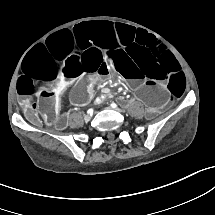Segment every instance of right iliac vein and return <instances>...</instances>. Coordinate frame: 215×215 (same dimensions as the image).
Listing matches in <instances>:
<instances>
[{"instance_id":"right-iliac-vein-1","label":"right iliac vein","mask_w":215,"mask_h":215,"mask_svg":"<svg viewBox=\"0 0 215 215\" xmlns=\"http://www.w3.org/2000/svg\"><path fill=\"white\" fill-rule=\"evenodd\" d=\"M90 118H91L90 115H86V116L84 117V120H85V121H89Z\"/></svg>"}]
</instances>
